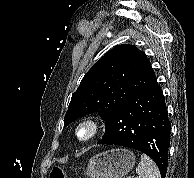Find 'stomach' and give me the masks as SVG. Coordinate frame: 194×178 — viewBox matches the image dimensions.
I'll list each match as a JSON object with an SVG mask.
<instances>
[{"instance_id": "stomach-1", "label": "stomach", "mask_w": 194, "mask_h": 178, "mask_svg": "<svg viewBox=\"0 0 194 178\" xmlns=\"http://www.w3.org/2000/svg\"><path fill=\"white\" fill-rule=\"evenodd\" d=\"M136 162L132 151L112 149L93 156L87 165L89 178H122L129 173Z\"/></svg>"}]
</instances>
